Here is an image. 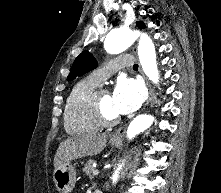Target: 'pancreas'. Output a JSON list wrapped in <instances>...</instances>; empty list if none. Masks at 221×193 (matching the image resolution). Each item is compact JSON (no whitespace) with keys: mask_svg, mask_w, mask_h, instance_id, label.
Masks as SVG:
<instances>
[{"mask_svg":"<svg viewBox=\"0 0 221 193\" xmlns=\"http://www.w3.org/2000/svg\"><path fill=\"white\" fill-rule=\"evenodd\" d=\"M95 161L93 160V159H90V160H88L87 162H86V164L84 165V168H83V172L86 174V175H88L90 178H92L93 177V170H94V168H93V163H94Z\"/></svg>","mask_w":221,"mask_h":193,"instance_id":"obj_1","label":"pancreas"}]
</instances>
